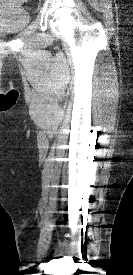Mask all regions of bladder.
<instances>
[{"instance_id":"1","label":"bladder","mask_w":133,"mask_h":275,"mask_svg":"<svg viewBox=\"0 0 133 275\" xmlns=\"http://www.w3.org/2000/svg\"><path fill=\"white\" fill-rule=\"evenodd\" d=\"M0 0V32H20L30 22L31 15L27 8L11 5ZM13 3L14 0H10Z\"/></svg>"}]
</instances>
